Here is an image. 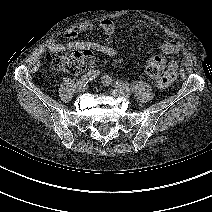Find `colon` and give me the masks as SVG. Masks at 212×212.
<instances>
[{
  "instance_id": "5ec220e1",
  "label": "colon",
  "mask_w": 212,
  "mask_h": 212,
  "mask_svg": "<svg viewBox=\"0 0 212 212\" xmlns=\"http://www.w3.org/2000/svg\"><path fill=\"white\" fill-rule=\"evenodd\" d=\"M87 57L84 52L72 51L64 55H60L53 59L52 66L56 70L78 75L86 69ZM145 73L158 81L164 80L166 77L165 69L159 62L149 61L145 65Z\"/></svg>"
}]
</instances>
